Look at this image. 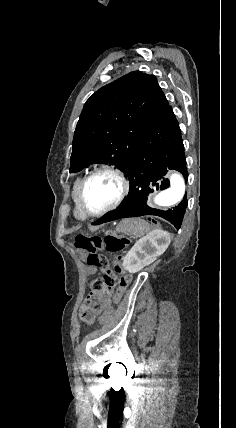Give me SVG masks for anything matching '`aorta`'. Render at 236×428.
Listing matches in <instances>:
<instances>
[{
    "label": "aorta",
    "instance_id": "aorta-1",
    "mask_svg": "<svg viewBox=\"0 0 236 428\" xmlns=\"http://www.w3.org/2000/svg\"><path fill=\"white\" fill-rule=\"evenodd\" d=\"M184 193V178L181 174L175 172L170 176V187L159 192L154 198V203L162 207L173 206L182 200Z\"/></svg>",
    "mask_w": 236,
    "mask_h": 428
}]
</instances>
